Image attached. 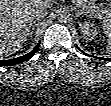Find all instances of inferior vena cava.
<instances>
[{
  "mask_svg": "<svg viewBox=\"0 0 111 106\" xmlns=\"http://www.w3.org/2000/svg\"><path fill=\"white\" fill-rule=\"evenodd\" d=\"M48 10L43 5H36L32 10V17L35 21H40L47 16Z\"/></svg>",
  "mask_w": 111,
  "mask_h": 106,
  "instance_id": "obj_1",
  "label": "inferior vena cava"
}]
</instances>
